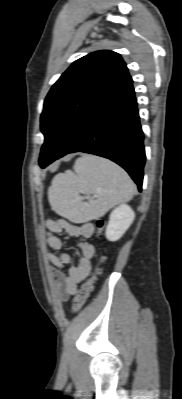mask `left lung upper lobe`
Here are the masks:
<instances>
[{"mask_svg":"<svg viewBox=\"0 0 182 399\" xmlns=\"http://www.w3.org/2000/svg\"><path fill=\"white\" fill-rule=\"evenodd\" d=\"M131 82L126 64L116 52L97 51L76 60L44 101L40 166L54 161L90 116Z\"/></svg>","mask_w":182,"mask_h":399,"instance_id":"5c2ea615","label":"left lung upper lobe"}]
</instances>
